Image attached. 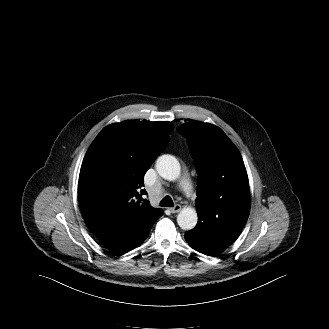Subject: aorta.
<instances>
[{
    "instance_id": "aorta-1",
    "label": "aorta",
    "mask_w": 329,
    "mask_h": 329,
    "mask_svg": "<svg viewBox=\"0 0 329 329\" xmlns=\"http://www.w3.org/2000/svg\"><path fill=\"white\" fill-rule=\"evenodd\" d=\"M156 170L165 180L174 181L180 176L181 167L179 161L174 156L165 154L157 159ZM197 221V212L191 207L183 208L177 216V223L183 230L193 229Z\"/></svg>"
}]
</instances>
